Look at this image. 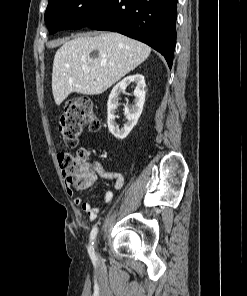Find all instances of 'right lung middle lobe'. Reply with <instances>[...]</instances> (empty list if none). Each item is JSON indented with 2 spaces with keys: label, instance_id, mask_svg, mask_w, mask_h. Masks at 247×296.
Here are the masks:
<instances>
[{
  "label": "right lung middle lobe",
  "instance_id": "obj_1",
  "mask_svg": "<svg viewBox=\"0 0 247 296\" xmlns=\"http://www.w3.org/2000/svg\"><path fill=\"white\" fill-rule=\"evenodd\" d=\"M104 0H49L45 23L50 32L79 29L98 15Z\"/></svg>",
  "mask_w": 247,
  "mask_h": 296
}]
</instances>
